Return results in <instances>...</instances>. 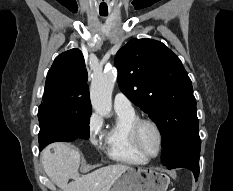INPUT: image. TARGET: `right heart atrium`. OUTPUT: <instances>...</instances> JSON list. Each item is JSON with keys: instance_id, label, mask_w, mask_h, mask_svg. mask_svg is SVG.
Listing matches in <instances>:
<instances>
[{"instance_id": "d8ad5b80", "label": "right heart atrium", "mask_w": 233, "mask_h": 191, "mask_svg": "<svg viewBox=\"0 0 233 191\" xmlns=\"http://www.w3.org/2000/svg\"><path fill=\"white\" fill-rule=\"evenodd\" d=\"M102 128L103 122L100 116L92 114L88 121V138L95 146H99L101 144Z\"/></svg>"}]
</instances>
